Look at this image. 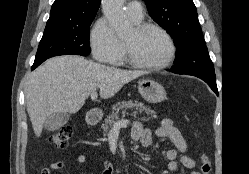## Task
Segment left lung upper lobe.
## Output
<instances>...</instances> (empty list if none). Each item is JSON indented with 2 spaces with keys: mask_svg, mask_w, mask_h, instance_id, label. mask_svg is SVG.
<instances>
[{
  "mask_svg": "<svg viewBox=\"0 0 249 174\" xmlns=\"http://www.w3.org/2000/svg\"><path fill=\"white\" fill-rule=\"evenodd\" d=\"M144 1L151 18L174 39L177 50L172 69L181 74H215L193 1Z\"/></svg>",
  "mask_w": 249,
  "mask_h": 174,
  "instance_id": "obj_1",
  "label": "left lung upper lobe"
}]
</instances>
